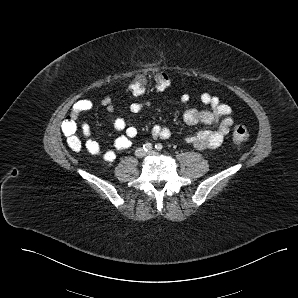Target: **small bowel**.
<instances>
[{
    "mask_svg": "<svg viewBox=\"0 0 298 298\" xmlns=\"http://www.w3.org/2000/svg\"><path fill=\"white\" fill-rule=\"evenodd\" d=\"M179 99L180 102L187 103L190 100V96L187 93H183ZM200 101L207 105L209 109H187L183 114V120L189 125L202 123L215 126L216 128L201 129L196 133L187 134L184 136V141L199 150L218 148L234 123L232 109L228 104L220 102L217 97L207 92L200 95ZM102 104L109 113L114 114L116 112V107L113 105L111 98H104ZM149 106V101L133 102L129 106V111L136 114ZM92 108L93 102L90 99H80L72 106L70 115L77 118L81 113ZM112 125L116 130L124 131V134L115 140L113 149H104L96 140L91 138L85 141L87 152L91 155L102 157L106 162L115 161L117 152L130 147L132 139L137 135L136 127L127 126L125 120L121 117H113ZM151 134L154 138L168 139L171 136V131L167 127L154 125L151 129Z\"/></svg>",
    "mask_w": 298,
    "mask_h": 298,
    "instance_id": "c3829d8e",
    "label": "small bowel"
}]
</instances>
